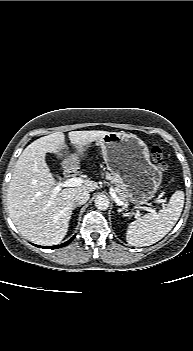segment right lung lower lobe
Listing matches in <instances>:
<instances>
[{
	"instance_id": "98d812e1",
	"label": "right lung lower lobe",
	"mask_w": 193,
	"mask_h": 351,
	"mask_svg": "<svg viewBox=\"0 0 193 351\" xmlns=\"http://www.w3.org/2000/svg\"><path fill=\"white\" fill-rule=\"evenodd\" d=\"M74 237H72L70 240H68L67 242L61 244V245H56V246H51V247H43V248H53V249H56V248H61V247H64L66 245H68L72 240H73Z\"/></svg>"
}]
</instances>
